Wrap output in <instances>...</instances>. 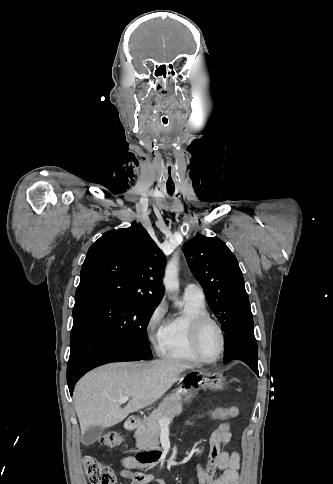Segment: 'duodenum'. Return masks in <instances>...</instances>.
Wrapping results in <instances>:
<instances>
[{"label":"duodenum","mask_w":333,"mask_h":484,"mask_svg":"<svg viewBox=\"0 0 333 484\" xmlns=\"http://www.w3.org/2000/svg\"><path fill=\"white\" fill-rule=\"evenodd\" d=\"M140 424V419L138 417H129L126 420L125 427L128 430H135L138 428ZM153 454L150 452L142 451L138 454L137 458L134 459L130 456H126L123 460L125 467L132 468L135 467L138 463H145L147 460H151L153 458Z\"/></svg>","instance_id":"obj_1"}]
</instances>
